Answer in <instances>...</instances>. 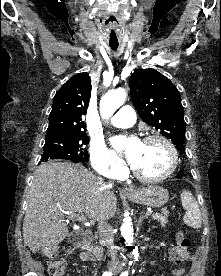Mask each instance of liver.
Masks as SVG:
<instances>
[{
	"label": "liver",
	"mask_w": 221,
	"mask_h": 276,
	"mask_svg": "<svg viewBox=\"0 0 221 276\" xmlns=\"http://www.w3.org/2000/svg\"><path fill=\"white\" fill-rule=\"evenodd\" d=\"M117 200L111 186L83 165L41 164L34 173L23 222L24 244L36 253L56 248L70 235L65 218L84 213L91 221L111 219ZM69 214H67V213Z\"/></svg>",
	"instance_id": "liver-1"
}]
</instances>
